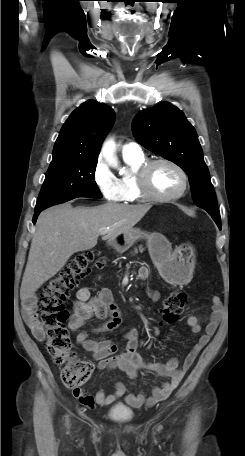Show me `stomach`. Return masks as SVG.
I'll list each match as a JSON object with an SVG mask.
<instances>
[{"mask_svg": "<svg viewBox=\"0 0 245 456\" xmlns=\"http://www.w3.org/2000/svg\"><path fill=\"white\" fill-rule=\"evenodd\" d=\"M140 239L147 240L151 259L162 277L171 284H183L191 275L194 266V249L189 243L181 244L174 251L168 240L160 233H146L132 228L112 239L113 246L124 251Z\"/></svg>", "mask_w": 245, "mask_h": 456, "instance_id": "obj_1", "label": "stomach"}]
</instances>
